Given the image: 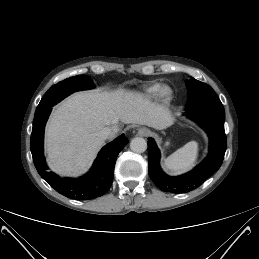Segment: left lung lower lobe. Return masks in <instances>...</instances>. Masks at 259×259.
<instances>
[{
    "mask_svg": "<svg viewBox=\"0 0 259 259\" xmlns=\"http://www.w3.org/2000/svg\"><path fill=\"white\" fill-rule=\"evenodd\" d=\"M189 118L206 130L210 138L209 155L189 173L170 177L159 166L160 152L152 138L148 142V171L151 180L164 192L187 193L204 183L221 166L227 141L224 131L225 110L221 103L185 109Z\"/></svg>",
    "mask_w": 259,
    "mask_h": 259,
    "instance_id": "obj_1",
    "label": "left lung lower lobe"
}]
</instances>
